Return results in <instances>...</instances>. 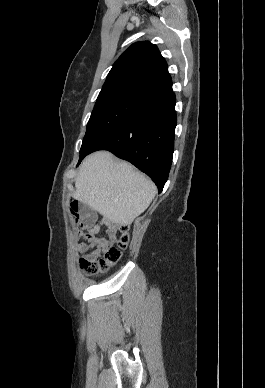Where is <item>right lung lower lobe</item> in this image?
<instances>
[{
    "label": "right lung lower lobe",
    "mask_w": 265,
    "mask_h": 388,
    "mask_svg": "<svg viewBox=\"0 0 265 388\" xmlns=\"http://www.w3.org/2000/svg\"><path fill=\"white\" fill-rule=\"evenodd\" d=\"M175 103L172 89L148 99L131 117L98 141L89 153L111 151L151 177L161 192L173 157Z\"/></svg>",
    "instance_id": "right-lung-lower-lobe-1"
}]
</instances>
